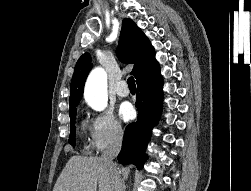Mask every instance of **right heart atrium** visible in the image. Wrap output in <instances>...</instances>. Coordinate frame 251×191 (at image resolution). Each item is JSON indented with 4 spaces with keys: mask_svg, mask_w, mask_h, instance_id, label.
<instances>
[{
    "mask_svg": "<svg viewBox=\"0 0 251 191\" xmlns=\"http://www.w3.org/2000/svg\"><path fill=\"white\" fill-rule=\"evenodd\" d=\"M124 131L111 112L95 113L90 125V141L93 150L101 152L111 145L119 144Z\"/></svg>",
    "mask_w": 251,
    "mask_h": 191,
    "instance_id": "obj_1",
    "label": "right heart atrium"
}]
</instances>
